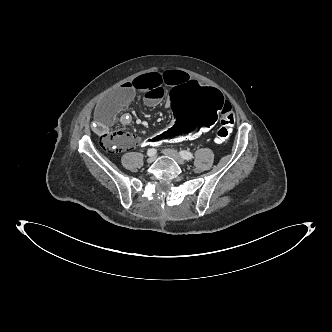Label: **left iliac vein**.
I'll return each mask as SVG.
<instances>
[{
  "label": "left iliac vein",
  "mask_w": 332,
  "mask_h": 332,
  "mask_svg": "<svg viewBox=\"0 0 332 332\" xmlns=\"http://www.w3.org/2000/svg\"><path fill=\"white\" fill-rule=\"evenodd\" d=\"M162 153L175 160L179 165H185L186 163L179 153L173 149H164Z\"/></svg>",
  "instance_id": "4c4485c4"
}]
</instances>
